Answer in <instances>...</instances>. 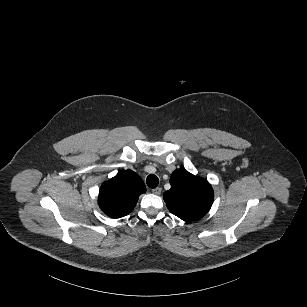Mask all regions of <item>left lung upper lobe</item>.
<instances>
[{
  "instance_id": "left-lung-upper-lobe-1",
  "label": "left lung upper lobe",
  "mask_w": 307,
  "mask_h": 307,
  "mask_svg": "<svg viewBox=\"0 0 307 307\" xmlns=\"http://www.w3.org/2000/svg\"><path fill=\"white\" fill-rule=\"evenodd\" d=\"M170 184L163 197L169 211L180 219H200L211 208L214 192L205 179L180 168L172 173Z\"/></svg>"
}]
</instances>
